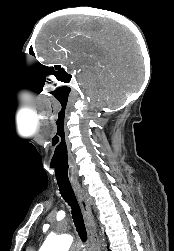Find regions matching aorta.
<instances>
[{
	"instance_id": "obj_1",
	"label": "aorta",
	"mask_w": 174,
	"mask_h": 251,
	"mask_svg": "<svg viewBox=\"0 0 174 251\" xmlns=\"http://www.w3.org/2000/svg\"><path fill=\"white\" fill-rule=\"evenodd\" d=\"M73 242L71 235H57L48 238L39 251H68Z\"/></svg>"
}]
</instances>
